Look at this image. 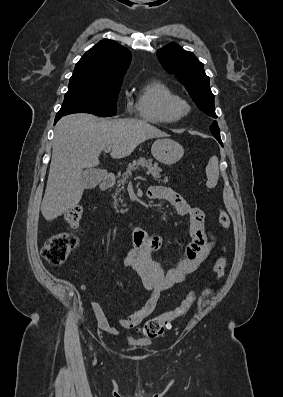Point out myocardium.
Returning <instances> with one entry per match:
<instances>
[{
  "label": "myocardium",
  "mask_w": 283,
  "mask_h": 397,
  "mask_svg": "<svg viewBox=\"0 0 283 397\" xmlns=\"http://www.w3.org/2000/svg\"><path fill=\"white\" fill-rule=\"evenodd\" d=\"M190 110L189 102L181 97L174 98L169 104V111L176 120L187 116Z\"/></svg>",
  "instance_id": "1"
}]
</instances>
